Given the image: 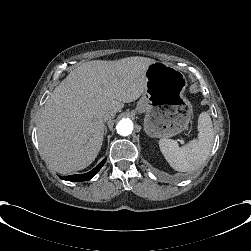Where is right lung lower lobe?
Returning a JSON list of instances; mask_svg holds the SVG:
<instances>
[{
	"instance_id": "1",
	"label": "right lung lower lobe",
	"mask_w": 251,
	"mask_h": 251,
	"mask_svg": "<svg viewBox=\"0 0 251 251\" xmlns=\"http://www.w3.org/2000/svg\"><path fill=\"white\" fill-rule=\"evenodd\" d=\"M105 161H106V159L101 161L93 170H91L88 173L78 174V175H70V176H61L60 178L63 180H67V181H76V182L87 181V180L91 179L94 175L97 174V172L104 165Z\"/></svg>"
}]
</instances>
